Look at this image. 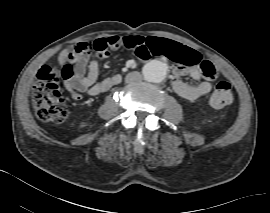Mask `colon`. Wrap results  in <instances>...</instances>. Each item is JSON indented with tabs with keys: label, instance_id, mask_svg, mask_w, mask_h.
Segmentation results:
<instances>
[{
	"label": "colon",
	"instance_id": "1",
	"mask_svg": "<svg viewBox=\"0 0 270 213\" xmlns=\"http://www.w3.org/2000/svg\"><path fill=\"white\" fill-rule=\"evenodd\" d=\"M154 41L150 44L153 45ZM124 45L131 49L137 57L147 47L145 40L138 36L126 37ZM76 54L77 51H74L69 55ZM202 73L206 78L215 79L216 69L209 61H205L202 64ZM72 76L73 68L69 63H64L60 69L43 65L37 70L32 86V101L40 120L60 123L68 117L69 111L60 90L59 82ZM232 100L231 85L227 81H221L212 93L210 104L214 108H222L230 105Z\"/></svg>",
	"mask_w": 270,
	"mask_h": 213
}]
</instances>
